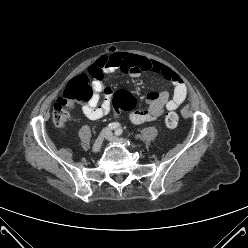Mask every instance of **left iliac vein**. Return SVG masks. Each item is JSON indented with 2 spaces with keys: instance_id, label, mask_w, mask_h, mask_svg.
I'll list each match as a JSON object with an SVG mask.
<instances>
[{
  "instance_id": "left-iliac-vein-1",
  "label": "left iliac vein",
  "mask_w": 248,
  "mask_h": 248,
  "mask_svg": "<svg viewBox=\"0 0 248 248\" xmlns=\"http://www.w3.org/2000/svg\"><path fill=\"white\" fill-rule=\"evenodd\" d=\"M106 139L111 142V143H116V144H124V142L115 136H113L112 132L108 131L106 134Z\"/></svg>"
}]
</instances>
